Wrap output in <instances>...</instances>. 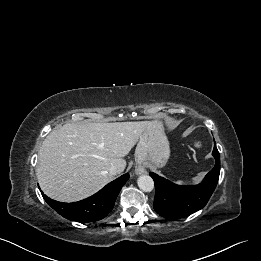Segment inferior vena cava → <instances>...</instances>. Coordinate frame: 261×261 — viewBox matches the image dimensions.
Wrapping results in <instances>:
<instances>
[{"label": "inferior vena cava", "instance_id": "obj_1", "mask_svg": "<svg viewBox=\"0 0 261 261\" xmlns=\"http://www.w3.org/2000/svg\"><path fill=\"white\" fill-rule=\"evenodd\" d=\"M121 172V169L117 166H112L109 170V173L111 175H116V174H119Z\"/></svg>", "mask_w": 261, "mask_h": 261}]
</instances>
